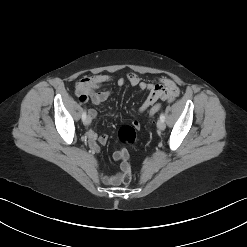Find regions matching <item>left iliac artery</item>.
I'll use <instances>...</instances> for the list:
<instances>
[{"mask_svg":"<svg viewBox=\"0 0 247 247\" xmlns=\"http://www.w3.org/2000/svg\"><path fill=\"white\" fill-rule=\"evenodd\" d=\"M160 119H161V120H163V121L165 120V116H164V114H163V113H161V115H160Z\"/></svg>","mask_w":247,"mask_h":247,"instance_id":"1","label":"left iliac artery"}]
</instances>
